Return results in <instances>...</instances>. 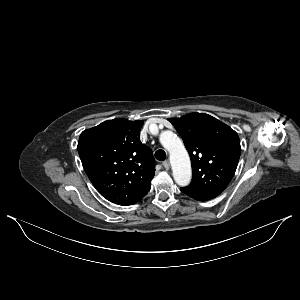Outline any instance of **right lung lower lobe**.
<instances>
[{"label": "right lung lower lobe", "instance_id": "obj_1", "mask_svg": "<svg viewBox=\"0 0 300 300\" xmlns=\"http://www.w3.org/2000/svg\"><path fill=\"white\" fill-rule=\"evenodd\" d=\"M143 197H144V196H143ZM143 197L135 198V199H130V200H127V201L118 203V204H120V205H132V204H135V203H137L138 201H140Z\"/></svg>", "mask_w": 300, "mask_h": 300}]
</instances>
